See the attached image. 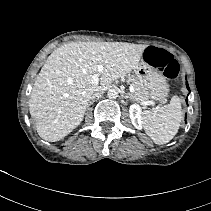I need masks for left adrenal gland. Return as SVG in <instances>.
Here are the masks:
<instances>
[{
    "label": "left adrenal gland",
    "mask_w": 211,
    "mask_h": 211,
    "mask_svg": "<svg viewBox=\"0 0 211 211\" xmlns=\"http://www.w3.org/2000/svg\"><path fill=\"white\" fill-rule=\"evenodd\" d=\"M125 98L131 101H135V98L130 93H127Z\"/></svg>",
    "instance_id": "left-adrenal-gland-1"
}]
</instances>
